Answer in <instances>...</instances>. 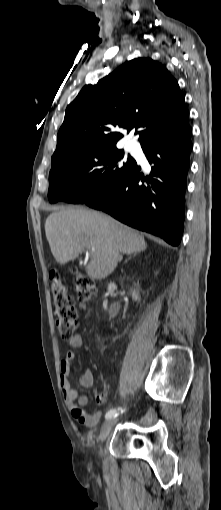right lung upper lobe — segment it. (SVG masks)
Instances as JSON below:
<instances>
[{
    "label": "right lung upper lobe",
    "instance_id": "right-lung-upper-lobe-1",
    "mask_svg": "<svg viewBox=\"0 0 221 510\" xmlns=\"http://www.w3.org/2000/svg\"><path fill=\"white\" fill-rule=\"evenodd\" d=\"M188 125V113L178 82L150 58L124 63L95 85H86L67 106L58 132L52 166L70 153L116 145L141 129L139 141L178 131Z\"/></svg>",
    "mask_w": 221,
    "mask_h": 510
}]
</instances>
